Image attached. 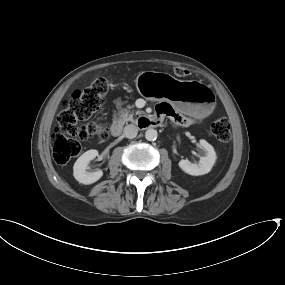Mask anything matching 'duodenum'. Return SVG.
I'll return each instance as SVG.
<instances>
[{
	"mask_svg": "<svg viewBox=\"0 0 285 285\" xmlns=\"http://www.w3.org/2000/svg\"><path fill=\"white\" fill-rule=\"evenodd\" d=\"M143 121L147 123L148 126L156 125V122L153 118L143 117ZM123 124L122 122L115 120L111 125V133L113 136H120L122 134Z\"/></svg>",
	"mask_w": 285,
	"mask_h": 285,
	"instance_id": "1",
	"label": "duodenum"
}]
</instances>
